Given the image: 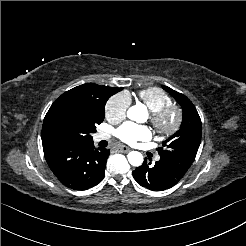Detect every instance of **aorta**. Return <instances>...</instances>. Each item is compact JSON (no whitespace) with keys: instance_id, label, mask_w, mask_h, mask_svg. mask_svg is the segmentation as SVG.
<instances>
[{"instance_id":"762f6f07","label":"aorta","mask_w":246,"mask_h":246,"mask_svg":"<svg viewBox=\"0 0 246 246\" xmlns=\"http://www.w3.org/2000/svg\"><path fill=\"white\" fill-rule=\"evenodd\" d=\"M146 107L142 104H137L132 106L127 111V116L129 119L136 121L138 123L144 122L147 117ZM128 161L132 166H140L143 163V155L138 151H131L128 155Z\"/></svg>"}]
</instances>
